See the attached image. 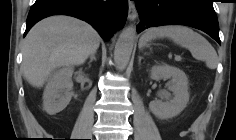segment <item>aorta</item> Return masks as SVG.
I'll return each instance as SVG.
<instances>
[{
  "mask_svg": "<svg viewBox=\"0 0 236 140\" xmlns=\"http://www.w3.org/2000/svg\"><path fill=\"white\" fill-rule=\"evenodd\" d=\"M136 37V30L133 26L125 28L120 34L114 50V61L117 68L124 69L130 60Z\"/></svg>",
  "mask_w": 236,
  "mask_h": 140,
  "instance_id": "762f6f07",
  "label": "aorta"
}]
</instances>
